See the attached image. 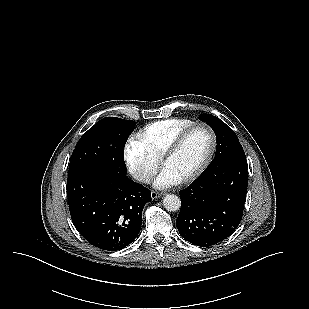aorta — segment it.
Returning a JSON list of instances; mask_svg holds the SVG:
<instances>
[{
    "label": "aorta",
    "instance_id": "762f6f07",
    "mask_svg": "<svg viewBox=\"0 0 309 309\" xmlns=\"http://www.w3.org/2000/svg\"><path fill=\"white\" fill-rule=\"evenodd\" d=\"M163 206L168 211H177L181 206V200L177 195L167 194L163 198Z\"/></svg>",
    "mask_w": 309,
    "mask_h": 309
}]
</instances>
